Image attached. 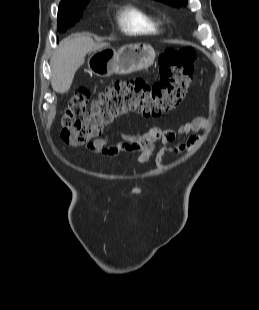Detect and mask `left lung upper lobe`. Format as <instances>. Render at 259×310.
Segmentation results:
<instances>
[{"label": "left lung upper lobe", "instance_id": "left-lung-upper-lobe-1", "mask_svg": "<svg viewBox=\"0 0 259 310\" xmlns=\"http://www.w3.org/2000/svg\"><path fill=\"white\" fill-rule=\"evenodd\" d=\"M157 1L164 2L170 5L176 6V7H180L187 3V0H157Z\"/></svg>", "mask_w": 259, "mask_h": 310}]
</instances>
